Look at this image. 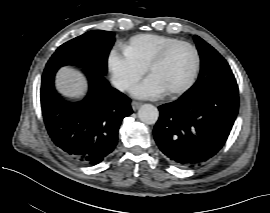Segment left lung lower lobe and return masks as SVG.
<instances>
[{
  "label": "left lung lower lobe",
  "instance_id": "1",
  "mask_svg": "<svg viewBox=\"0 0 270 213\" xmlns=\"http://www.w3.org/2000/svg\"><path fill=\"white\" fill-rule=\"evenodd\" d=\"M239 109L235 79L200 94L161 105L154 139L166 158L179 167L200 165L225 144Z\"/></svg>",
  "mask_w": 270,
  "mask_h": 213
}]
</instances>
